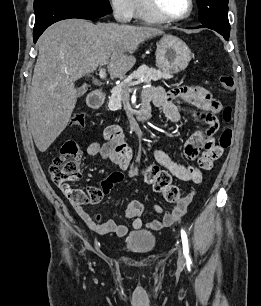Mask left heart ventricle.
<instances>
[{
    "label": "left heart ventricle",
    "instance_id": "obj_1",
    "mask_svg": "<svg viewBox=\"0 0 261 306\" xmlns=\"http://www.w3.org/2000/svg\"><path fill=\"white\" fill-rule=\"evenodd\" d=\"M161 12L169 17L185 14L189 7L188 0H156Z\"/></svg>",
    "mask_w": 261,
    "mask_h": 306
}]
</instances>
